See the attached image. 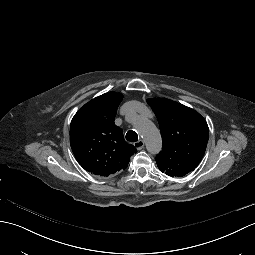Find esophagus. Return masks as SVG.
I'll list each match as a JSON object with an SVG mask.
<instances>
[{
  "label": "esophagus",
  "instance_id": "esophagus-1",
  "mask_svg": "<svg viewBox=\"0 0 255 255\" xmlns=\"http://www.w3.org/2000/svg\"><path fill=\"white\" fill-rule=\"evenodd\" d=\"M137 150H141L144 147V141L139 140L133 144Z\"/></svg>",
  "mask_w": 255,
  "mask_h": 255
}]
</instances>
